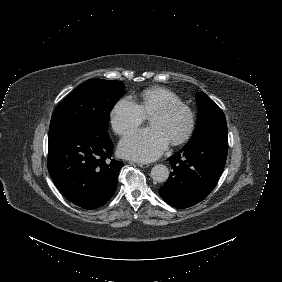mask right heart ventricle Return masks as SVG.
Wrapping results in <instances>:
<instances>
[{
    "label": "right heart ventricle",
    "instance_id": "obj_1",
    "mask_svg": "<svg viewBox=\"0 0 282 282\" xmlns=\"http://www.w3.org/2000/svg\"><path fill=\"white\" fill-rule=\"evenodd\" d=\"M134 100L145 116H149L165 101L180 102L175 94L163 88L145 90L139 98H135Z\"/></svg>",
    "mask_w": 282,
    "mask_h": 282
}]
</instances>
